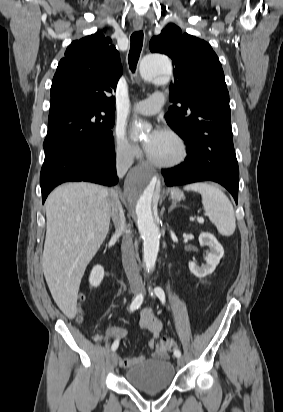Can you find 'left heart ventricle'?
Listing matches in <instances>:
<instances>
[{
    "label": "left heart ventricle",
    "instance_id": "1",
    "mask_svg": "<svg viewBox=\"0 0 283 412\" xmlns=\"http://www.w3.org/2000/svg\"><path fill=\"white\" fill-rule=\"evenodd\" d=\"M150 139L147 137L146 142ZM179 145L174 138L166 133H162L148 150L150 156L160 162H170L179 155Z\"/></svg>",
    "mask_w": 283,
    "mask_h": 412
}]
</instances>
